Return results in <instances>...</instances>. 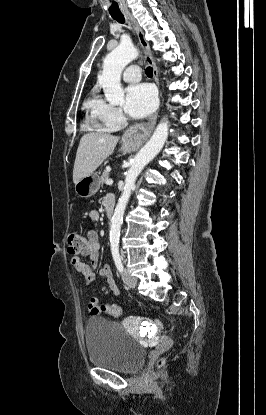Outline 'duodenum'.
<instances>
[{"mask_svg":"<svg viewBox=\"0 0 266 415\" xmlns=\"http://www.w3.org/2000/svg\"><path fill=\"white\" fill-rule=\"evenodd\" d=\"M106 207V213L110 217L113 214L115 203L114 202H108L105 204Z\"/></svg>","mask_w":266,"mask_h":415,"instance_id":"obj_1","label":"duodenum"}]
</instances>
